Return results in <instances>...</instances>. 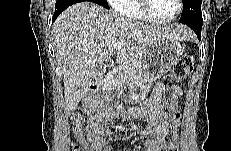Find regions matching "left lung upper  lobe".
Here are the masks:
<instances>
[{
  "mask_svg": "<svg viewBox=\"0 0 231 151\" xmlns=\"http://www.w3.org/2000/svg\"><path fill=\"white\" fill-rule=\"evenodd\" d=\"M201 3L202 0H183V11L179 23H203Z\"/></svg>",
  "mask_w": 231,
  "mask_h": 151,
  "instance_id": "left-lung-upper-lobe-1",
  "label": "left lung upper lobe"
}]
</instances>
